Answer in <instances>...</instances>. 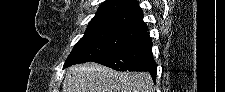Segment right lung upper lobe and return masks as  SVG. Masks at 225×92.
<instances>
[{
	"label": "right lung upper lobe",
	"instance_id": "1",
	"mask_svg": "<svg viewBox=\"0 0 225 92\" xmlns=\"http://www.w3.org/2000/svg\"><path fill=\"white\" fill-rule=\"evenodd\" d=\"M117 23L148 33L143 21V12L137 0H106L89 22L90 24Z\"/></svg>",
	"mask_w": 225,
	"mask_h": 92
}]
</instances>
